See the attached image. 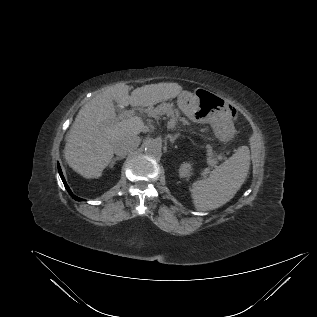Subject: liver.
<instances>
[{"label":"liver","mask_w":317,"mask_h":317,"mask_svg":"<svg viewBox=\"0 0 317 317\" xmlns=\"http://www.w3.org/2000/svg\"><path fill=\"white\" fill-rule=\"evenodd\" d=\"M182 87L177 83H158L134 89L117 84L97 94L78 112L67 136L64 156L68 165L85 178H98L111 162L113 144L123 137L137 136L142 120L125 118L116 121L114 102L127 106H153L178 96Z\"/></svg>","instance_id":"1"}]
</instances>
